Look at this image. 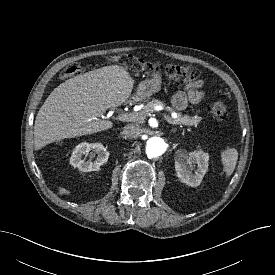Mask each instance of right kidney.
<instances>
[{
  "label": "right kidney",
  "instance_id": "1",
  "mask_svg": "<svg viewBox=\"0 0 275 275\" xmlns=\"http://www.w3.org/2000/svg\"><path fill=\"white\" fill-rule=\"evenodd\" d=\"M91 151L90 159H82L83 155H88ZM96 156V159L93 161V158ZM109 158V152L106 151L104 146L101 143H80L72 152L70 158V164L73 167H77L80 171L90 172L99 170L100 166L107 162Z\"/></svg>",
  "mask_w": 275,
  "mask_h": 275
}]
</instances>
